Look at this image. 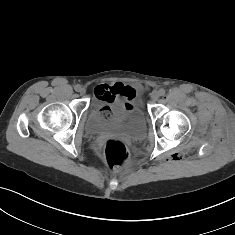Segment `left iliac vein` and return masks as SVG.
<instances>
[{"mask_svg":"<svg viewBox=\"0 0 235 235\" xmlns=\"http://www.w3.org/2000/svg\"><path fill=\"white\" fill-rule=\"evenodd\" d=\"M158 98H159V92H158V91H153V92L151 93V99H152V101H153V102H156V101L158 100Z\"/></svg>","mask_w":235,"mask_h":235,"instance_id":"left-iliac-vein-1","label":"left iliac vein"}]
</instances>
